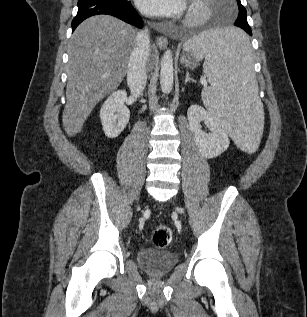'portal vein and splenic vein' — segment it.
<instances>
[{"label":"portal vein and splenic vein","mask_w":307,"mask_h":317,"mask_svg":"<svg viewBox=\"0 0 307 317\" xmlns=\"http://www.w3.org/2000/svg\"><path fill=\"white\" fill-rule=\"evenodd\" d=\"M202 84H203L204 86H206V85H207V83H206L205 81H203V82H202Z\"/></svg>","instance_id":"1"}]
</instances>
